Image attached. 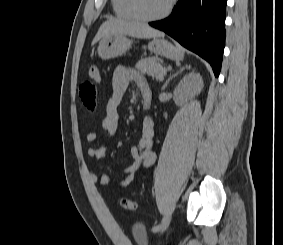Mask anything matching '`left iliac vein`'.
Listing matches in <instances>:
<instances>
[{
  "mask_svg": "<svg viewBox=\"0 0 283 245\" xmlns=\"http://www.w3.org/2000/svg\"><path fill=\"white\" fill-rule=\"evenodd\" d=\"M170 218H171L170 214L165 217L164 224H163L162 228L158 232H162L168 226V224L170 222Z\"/></svg>",
  "mask_w": 283,
  "mask_h": 245,
  "instance_id": "1",
  "label": "left iliac vein"
}]
</instances>
